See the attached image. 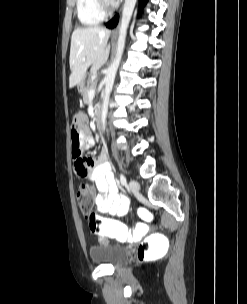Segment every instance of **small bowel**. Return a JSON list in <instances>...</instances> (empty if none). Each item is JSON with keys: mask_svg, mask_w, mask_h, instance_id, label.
Masks as SVG:
<instances>
[{"mask_svg": "<svg viewBox=\"0 0 247 304\" xmlns=\"http://www.w3.org/2000/svg\"><path fill=\"white\" fill-rule=\"evenodd\" d=\"M71 119H82V112H71ZM71 152L77 173L89 183H93L98 193L94 203L98 212L113 217H122L129 208V199L118 191L112 167L108 162L106 150L96 158H86L83 150L94 145L88 128L82 120H71ZM81 151V152H80ZM78 159L81 162L78 163Z\"/></svg>", "mask_w": 247, "mask_h": 304, "instance_id": "1", "label": "small bowel"}]
</instances>
